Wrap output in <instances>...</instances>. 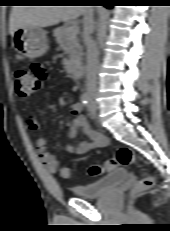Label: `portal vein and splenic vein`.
<instances>
[{
  "instance_id": "18ae733b",
  "label": "portal vein and splenic vein",
  "mask_w": 170,
  "mask_h": 231,
  "mask_svg": "<svg viewBox=\"0 0 170 231\" xmlns=\"http://www.w3.org/2000/svg\"><path fill=\"white\" fill-rule=\"evenodd\" d=\"M68 32L71 35H76L79 32V27L76 24H73L68 28Z\"/></svg>"
}]
</instances>
